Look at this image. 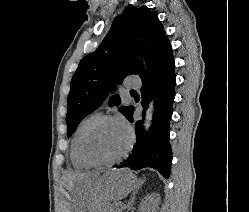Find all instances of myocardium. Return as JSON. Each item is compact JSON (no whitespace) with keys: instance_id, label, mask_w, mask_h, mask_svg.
I'll return each instance as SVG.
<instances>
[{"instance_id":"1","label":"myocardium","mask_w":249,"mask_h":212,"mask_svg":"<svg viewBox=\"0 0 249 212\" xmlns=\"http://www.w3.org/2000/svg\"><path fill=\"white\" fill-rule=\"evenodd\" d=\"M104 122H115L123 126L128 134V144L125 150L119 156L108 161H94L87 157L85 150H84V144L90 132L95 127H97L98 125ZM133 145H134V132L131 126L124 119L118 116H113V115H100V116H96L83 129L77 142V155L80 161L88 167H95V168L109 167L120 162L124 158H126L128 154L131 152Z\"/></svg>"}]
</instances>
